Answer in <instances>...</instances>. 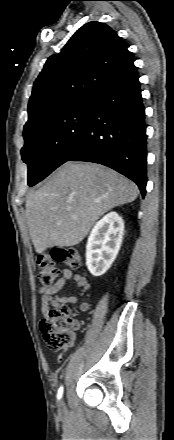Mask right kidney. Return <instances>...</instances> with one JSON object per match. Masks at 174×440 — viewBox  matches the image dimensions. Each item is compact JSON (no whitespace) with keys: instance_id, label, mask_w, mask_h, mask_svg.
Returning <instances> with one entry per match:
<instances>
[{"instance_id":"obj_1","label":"right kidney","mask_w":174,"mask_h":440,"mask_svg":"<svg viewBox=\"0 0 174 440\" xmlns=\"http://www.w3.org/2000/svg\"><path fill=\"white\" fill-rule=\"evenodd\" d=\"M124 232V221L110 212L93 227L86 246V265L93 276L103 275L115 260Z\"/></svg>"}]
</instances>
